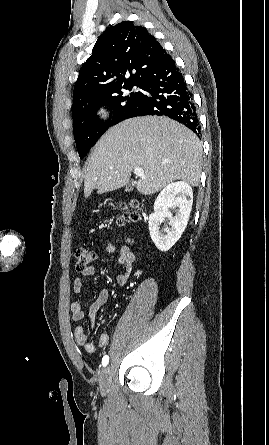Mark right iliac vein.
<instances>
[{
    "instance_id": "63e3f726",
    "label": "right iliac vein",
    "mask_w": 269,
    "mask_h": 445,
    "mask_svg": "<svg viewBox=\"0 0 269 445\" xmlns=\"http://www.w3.org/2000/svg\"><path fill=\"white\" fill-rule=\"evenodd\" d=\"M111 383V368L110 366L106 367L100 378V392L102 395H106L109 392Z\"/></svg>"
}]
</instances>
